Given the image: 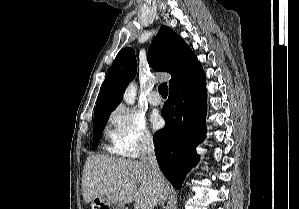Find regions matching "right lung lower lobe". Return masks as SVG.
<instances>
[{
	"instance_id": "98d812e1",
	"label": "right lung lower lobe",
	"mask_w": 299,
	"mask_h": 209,
	"mask_svg": "<svg viewBox=\"0 0 299 209\" xmlns=\"http://www.w3.org/2000/svg\"><path fill=\"white\" fill-rule=\"evenodd\" d=\"M207 90L205 74L169 90L162 116L166 127L154 134L157 162L167 179L176 188L193 167L199 156L196 146L206 133Z\"/></svg>"
}]
</instances>
